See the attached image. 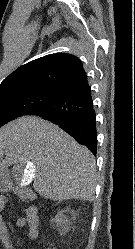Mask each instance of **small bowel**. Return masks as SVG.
<instances>
[{
	"instance_id": "small-bowel-1",
	"label": "small bowel",
	"mask_w": 135,
	"mask_h": 249,
	"mask_svg": "<svg viewBox=\"0 0 135 249\" xmlns=\"http://www.w3.org/2000/svg\"><path fill=\"white\" fill-rule=\"evenodd\" d=\"M7 199L5 196L0 195V211L7 206ZM18 227H26V236L30 239L37 238L39 217L38 210L35 206H27L24 209V216L19 218L16 222ZM0 243L4 249H13L9 244L8 231L5 222L0 214Z\"/></svg>"
}]
</instances>
